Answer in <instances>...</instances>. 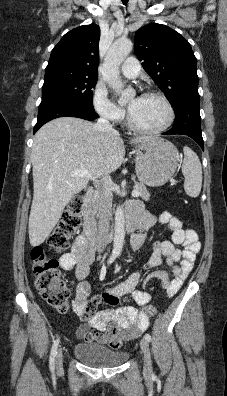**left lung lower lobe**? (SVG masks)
Masks as SVG:
<instances>
[{
	"label": "left lung lower lobe",
	"mask_w": 227,
	"mask_h": 396,
	"mask_svg": "<svg viewBox=\"0 0 227 396\" xmlns=\"http://www.w3.org/2000/svg\"><path fill=\"white\" fill-rule=\"evenodd\" d=\"M176 117L173 127L163 135L182 134L194 139L204 150L201 133L200 100L187 99L174 108Z\"/></svg>",
	"instance_id": "0a47b994"
}]
</instances>
